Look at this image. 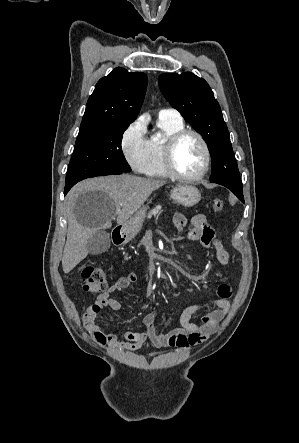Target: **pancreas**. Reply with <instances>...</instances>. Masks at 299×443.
Segmentation results:
<instances>
[{"label":"pancreas","mask_w":299,"mask_h":443,"mask_svg":"<svg viewBox=\"0 0 299 443\" xmlns=\"http://www.w3.org/2000/svg\"><path fill=\"white\" fill-rule=\"evenodd\" d=\"M162 206L158 205L154 209H152L148 214V219H150L152 216H156L159 212H161Z\"/></svg>","instance_id":"obj_1"}]
</instances>
